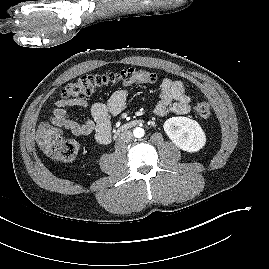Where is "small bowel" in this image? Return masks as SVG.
I'll use <instances>...</instances> for the list:
<instances>
[{
	"instance_id": "small-bowel-1",
	"label": "small bowel",
	"mask_w": 269,
	"mask_h": 269,
	"mask_svg": "<svg viewBox=\"0 0 269 269\" xmlns=\"http://www.w3.org/2000/svg\"><path fill=\"white\" fill-rule=\"evenodd\" d=\"M127 97L128 91L126 89L115 91L107 102H98L92 105L91 118L83 122L71 119L66 107L76 106L84 109L88 106L86 100L60 99L55 102L51 122L57 127L69 130L75 136L94 134L99 143L107 144L111 138V116L123 111ZM190 110L191 97L186 93L184 84L179 80L163 78L155 113L159 116H165L169 113L186 115Z\"/></svg>"
}]
</instances>
